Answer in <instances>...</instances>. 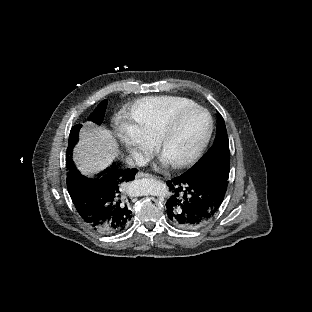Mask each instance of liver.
<instances>
[{
    "instance_id": "1",
    "label": "liver",
    "mask_w": 312,
    "mask_h": 312,
    "mask_svg": "<svg viewBox=\"0 0 312 312\" xmlns=\"http://www.w3.org/2000/svg\"><path fill=\"white\" fill-rule=\"evenodd\" d=\"M115 148L110 131L87 125L81 132L74 160L85 175L95 176L111 162L116 154Z\"/></svg>"
}]
</instances>
